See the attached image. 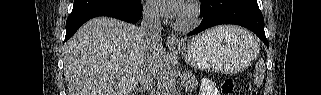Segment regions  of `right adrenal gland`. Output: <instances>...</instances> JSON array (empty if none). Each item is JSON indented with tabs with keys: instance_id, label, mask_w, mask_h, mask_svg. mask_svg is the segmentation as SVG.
Here are the masks:
<instances>
[{
	"instance_id": "1",
	"label": "right adrenal gland",
	"mask_w": 321,
	"mask_h": 95,
	"mask_svg": "<svg viewBox=\"0 0 321 95\" xmlns=\"http://www.w3.org/2000/svg\"><path fill=\"white\" fill-rule=\"evenodd\" d=\"M144 91V89L143 88H137L134 92H135V94H137V93H139V92H143Z\"/></svg>"
}]
</instances>
